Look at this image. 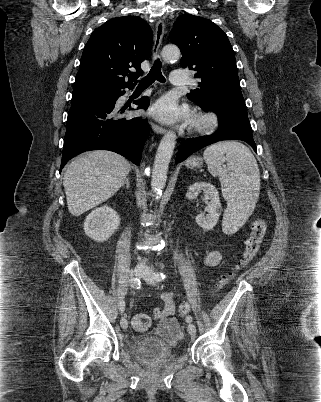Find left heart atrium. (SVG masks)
Masks as SVG:
<instances>
[{
    "instance_id": "left-heart-atrium-1",
    "label": "left heart atrium",
    "mask_w": 321,
    "mask_h": 402,
    "mask_svg": "<svg viewBox=\"0 0 321 402\" xmlns=\"http://www.w3.org/2000/svg\"><path fill=\"white\" fill-rule=\"evenodd\" d=\"M151 115L165 123H176L186 121L190 118L187 107H179L174 100L163 98L155 103L151 110Z\"/></svg>"
}]
</instances>
